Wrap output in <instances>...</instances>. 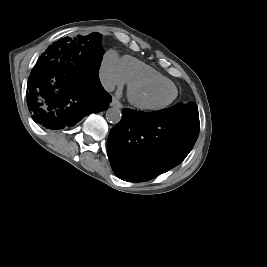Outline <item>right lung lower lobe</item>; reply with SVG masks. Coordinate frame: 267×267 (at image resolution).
<instances>
[{
	"label": "right lung lower lobe",
	"instance_id": "right-lung-lower-lobe-1",
	"mask_svg": "<svg viewBox=\"0 0 267 267\" xmlns=\"http://www.w3.org/2000/svg\"><path fill=\"white\" fill-rule=\"evenodd\" d=\"M100 63L61 44L48 50L28 79L27 105L33 120L57 130L107 109L111 96L102 87Z\"/></svg>",
	"mask_w": 267,
	"mask_h": 267
}]
</instances>
